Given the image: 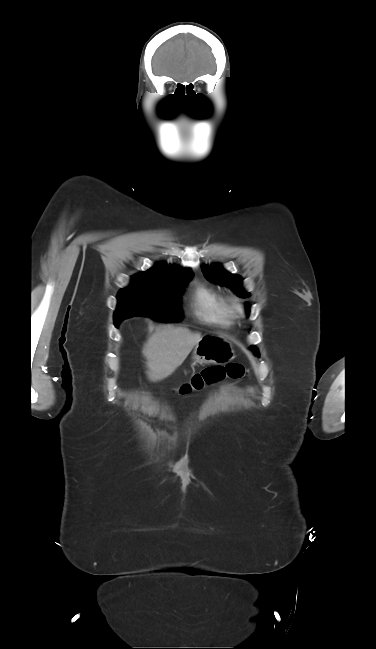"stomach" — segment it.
Returning a JSON list of instances; mask_svg holds the SVG:
<instances>
[{"label":"stomach","instance_id":"stomach-1","mask_svg":"<svg viewBox=\"0 0 376 649\" xmlns=\"http://www.w3.org/2000/svg\"><path fill=\"white\" fill-rule=\"evenodd\" d=\"M193 364H227L235 358L232 345L219 336H205L195 345Z\"/></svg>","mask_w":376,"mask_h":649}]
</instances>
